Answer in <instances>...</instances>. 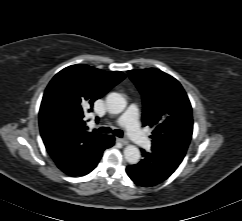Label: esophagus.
<instances>
[{
	"label": "esophagus",
	"mask_w": 242,
	"mask_h": 221,
	"mask_svg": "<svg viewBox=\"0 0 242 221\" xmlns=\"http://www.w3.org/2000/svg\"><path fill=\"white\" fill-rule=\"evenodd\" d=\"M117 141L123 145H127L129 143L128 140L124 138H117Z\"/></svg>",
	"instance_id": "obj_1"
}]
</instances>
